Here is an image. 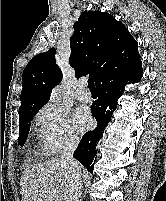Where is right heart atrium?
<instances>
[{
	"label": "right heart atrium",
	"mask_w": 166,
	"mask_h": 201,
	"mask_svg": "<svg viewBox=\"0 0 166 201\" xmlns=\"http://www.w3.org/2000/svg\"><path fill=\"white\" fill-rule=\"evenodd\" d=\"M36 122L40 146L50 155L78 143L67 110L58 104L44 105L36 114Z\"/></svg>",
	"instance_id": "right-heart-atrium-1"
}]
</instances>
